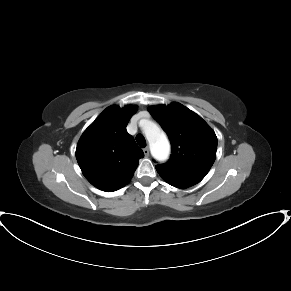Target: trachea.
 <instances>
[{"label":"trachea","instance_id":"obj_1","mask_svg":"<svg viewBox=\"0 0 291 291\" xmlns=\"http://www.w3.org/2000/svg\"><path fill=\"white\" fill-rule=\"evenodd\" d=\"M136 141L141 148L146 147V140L142 134L136 136Z\"/></svg>","mask_w":291,"mask_h":291}]
</instances>
